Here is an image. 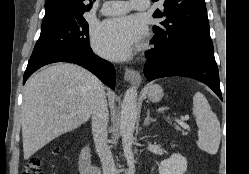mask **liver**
I'll return each instance as SVG.
<instances>
[{
	"label": "liver",
	"mask_w": 249,
	"mask_h": 174,
	"mask_svg": "<svg viewBox=\"0 0 249 174\" xmlns=\"http://www.w3.org/2000/svg\"><path fill=\"white\" fill-rule=\"evenodd\" d=\"M101 88L96 76L75 64L58 63L34 74L21 113L24 159L87 122Z\"/></svg>",
	"instance_id": "liver-1"
}]
</instances>
